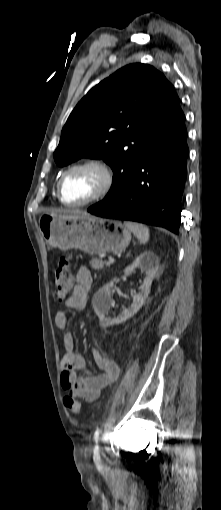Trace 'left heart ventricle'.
<instances>
[{"instance_id":"b2bd125f","label":"left heart ventricle","mask_w":221,"mask_h":510,"mask_svg":"<svg viewBox=\"0 0 221 510\" xmlns=\"http://www.w3.org/2000/svg\"><path fill=\"white\" fill-rule=\"evenodd\" d=\"M98 184L97 172L90 169L73 171L63 181L62 197L69 203L81 202L96 191Z\"/></svg>"}]
</instances>
